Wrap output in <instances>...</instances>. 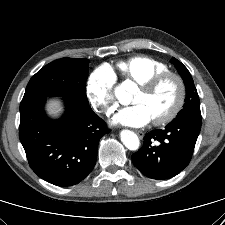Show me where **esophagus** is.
<instances>
[{
  "label": "esophagus",
  "instance_id": "esophagus-1",
  "mask_svg": "<svg viewBox=\"0 0 225 225\" xmlns=\"http://www.w3.org/2000/svg\"><path fill=\"white\" fill-rule=\"evenodd\" d=\"M135 132L140 139H142L144 137V132H142L141 130H136Z\"/></svg>",
  "mask_w": 225,
  "mask_h": 225
}]
</instances>
